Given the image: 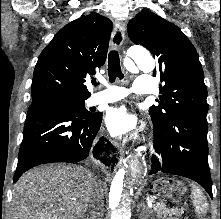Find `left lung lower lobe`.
I'll return each mask as SVG.
<instances>
[{"label":"left lung lower lobe","mask_w":221,"mask_h":219,"mask_svg":"<svg viewBox=\"0 0 221 219\" xmlns=\"http://www.w3.org/2000/svg\"><path fill=\"white\" fill-rule=\"evenodd\" d=\"M207 131V123L186 115L174 117L165 126L154 125L155 153L149 174L164 172L192 179L213 197Z\"/></svg>","instance_id":"1"}]
</instances>
